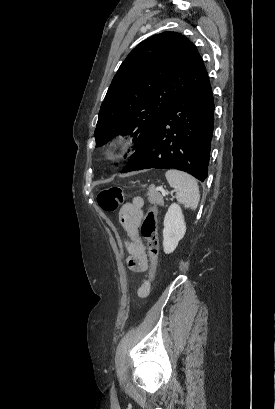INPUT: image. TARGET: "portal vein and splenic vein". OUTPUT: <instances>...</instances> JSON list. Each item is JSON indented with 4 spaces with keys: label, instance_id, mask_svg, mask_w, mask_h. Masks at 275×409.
Listing matches in <instances>:
<instances>
[{
    "label": "portal vein and splenic vein",
    "instance_id": "portal-vein-and-splenic-vein-1",
    "mask_svg": "<svg viewBox=\"0 0 275 409\" xmlns=\"http://www.w3.org/2000/svg\"><path fill=\"white\" fill-rule=\"evenodd\" d=\"M156 190H161L163 196H165V194H167L166 190H164L163 186H157Z\"/></svg>",
    "mask_w": 275,
    "mask_h": 409
}]
</instances>
